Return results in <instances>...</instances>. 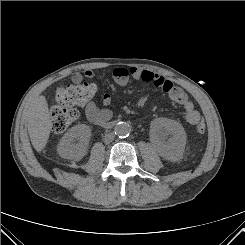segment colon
Here are the masks:
<instances>
[{"label":"colon","instance_id":"5ec220e1","mask_svg":"<svg viewBox=\"0 0 245 245\" xmlns=\"http://www.w3.org/2000/svg\"><path fill=\"white\" fill-rule=\"evenodd\" d=\"M94 83L62 84L55 91V103L51 107V126L54 133L65 131L78 117L76 105L88 102L96 93ZM198 134L205 132L204 121L196 126Z\"/></svg>","mask_w":245,"mask_h":245}]
</instances>
